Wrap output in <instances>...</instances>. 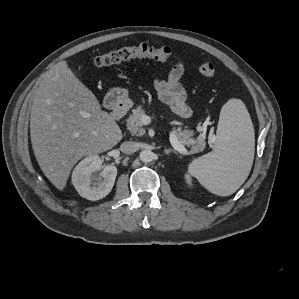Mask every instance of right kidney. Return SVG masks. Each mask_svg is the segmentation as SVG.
Returning a JSON list of instances; mask_svg holds the SVG:
<instances>
[{"mask_svg": "<svg viewBox=\"0 0 299 299\" xmlns=\"http://www.w3.org/2000/svg\"><path fill=\"white\" fill-rule=\"evenodd\" d=\"M116 176L117 168L115 166L103 167L98 155H90L74 168L72 183L80 196L96 201L109 194L114 186Z\"/></svg>", "mask_w": 299, "mask_h": 299, "instance_id": "obj_1", "label": "right kidney"}]
</instances>
